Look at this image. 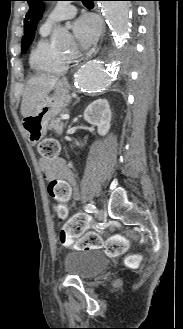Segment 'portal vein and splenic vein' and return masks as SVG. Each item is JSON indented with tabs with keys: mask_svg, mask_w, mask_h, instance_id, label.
<instances>
[{
	"mask_svg": "<svg viewBox=\"0 0 183 329\" xmlns=\"http://www.w3.org/2000/svg\"><path fill=\"white\" fill-rule=\"evenodd\" d=\"M61 117H62L63 120H67V119H69V115H67V114L62 115Z\"/></svg>",
	"mask_w": 183,
	"mask_h": 329,
	"instance_id": "18ae733b",
	"label": "portal vein and splenic vein"
}]
</instances>
